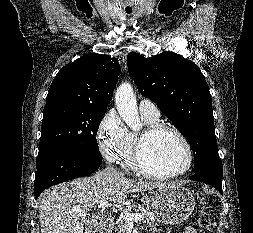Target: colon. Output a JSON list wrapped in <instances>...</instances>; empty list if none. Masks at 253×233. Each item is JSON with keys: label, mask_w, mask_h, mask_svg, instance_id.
<instances>
[{"label": "colon", "mask_w": 253, "mask_h": 233, "mask_svg": "<svg viewBox=\"0 0 253 233\" xmlns=\"http://www.w3.org/2000/svg\"><path fill=\"white\" fill-rule=\"evenodd\" d=\"M198 200L201 203L205 202V196L203 193L197 195ZM199 233H212V227L210 223V216L208 211L203 210L198 217Z\"/></svg>", "instance_id": "obj_1"}]
</instances>
